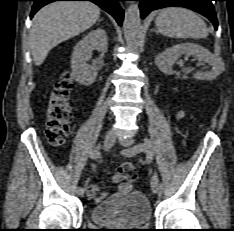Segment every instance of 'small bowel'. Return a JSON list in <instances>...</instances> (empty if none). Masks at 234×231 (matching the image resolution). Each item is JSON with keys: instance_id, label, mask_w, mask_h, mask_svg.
Listing matches in <instances>:
<instances>
[{"instance_id": "obj_1", "label": "small bowel", "mask_w": 234, "mask_h": 231, "mask_svg": "<svg viewBox=\"0 0 234 231\" xmlns=\"http://www.w3.org/2000/svg\"><path fill=\"white\" fill-rule=\"evenodd\" d=\"M184 116V111L180 110L177 113V117L181 118ZM118 190L122 193H128L132 190V183L129 181L121 182L118 186ZM88 196L96 203L100 202L103 198V195L98 194V189L95 185H88L87 187Z\"/></svg>"}]
</instances>
